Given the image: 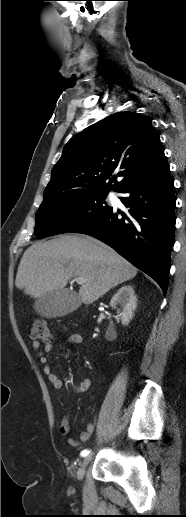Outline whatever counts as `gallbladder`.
I'll list each match as a JSON object with an SVG mask.
<instances>
[{"instance_id":"bac80fb5","label":"gallbladder","mask_w":186,"mask_h":517,"mask_svg":"<svg viewBox=\"0 0 186 517\" xmlns=\"http://www.w3.org/2000/svg\"><path fill=\"white\" fill-rule=\"evenodd\" d=\"M81 304L80 297L70 290H58L44 294L35 302L34 308L44 317H60L74 311Z\"/></svg>"}]
</instances>
